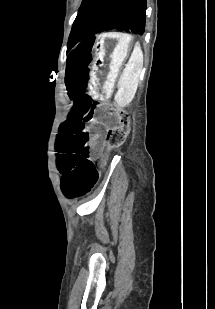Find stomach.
I'll use <instances>...</instances> for the list:
<instances>
[{
    "label": "stomach",
    "instance_id": "0dacf381",
    "mask_svg": "<svg viewBox=\"0 0 215 309\" xmlns=\"http://www.w3.org/2000/svg\"><path fill=\"white\" fill-rule=\"evenodd\" d=\"M133 46V36L125 32H105L96 38L95 60L89 79V88L95 98L106 99L111 94L121 66ZM136 47L138 45L134 49Z\"/></svg>",
    "mask_w": 215,
    "mask_h": 309
}]
</instances>
